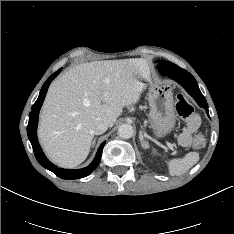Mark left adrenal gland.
<instances>
[{
  "label": "left adrenal gland",
  "instance_id": "left-adrenal-gland-1",
  "mask_svg": "<svg viewBox=\"0 0 234 234\" xmlns=\"http://www.w3.org/2000/svg\"><path fill=\"white\" fill-rule=\"evenodd\" d=\"M139 139H140L141 146H142L144 149H147V148L149 147V145H148V142H147V141H144V136H143L142 131H140V133H139Z\"/></svg>",
  "mask_w": 234,
  "mask_h": 234
}]
</instances>
